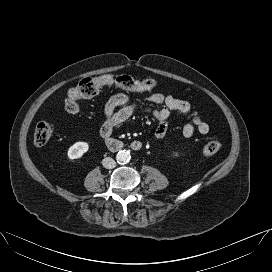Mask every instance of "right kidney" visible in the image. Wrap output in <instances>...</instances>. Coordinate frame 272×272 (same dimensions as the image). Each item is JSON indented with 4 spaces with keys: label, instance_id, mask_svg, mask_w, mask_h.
Listing matches in <instances>:
<instances>
[{
    "label": "right kidney",
    "instance_id": "1",
    "mask_svg": "<svg viewBox=\"0 0 272 272\" xmlns=\"http://www.w3.org/2000/svg\"><path fill=\"white\" fill-rule=\"evenodd\" d=\"M89 149V145L86 142H76L68 149V158L70 160L79 159Z\"/></svg>",
    "mask_w": 272,
    "mask_h": 272
}]
</instances>
